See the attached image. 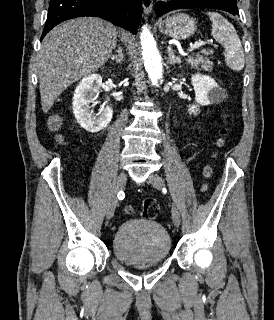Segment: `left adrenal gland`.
Returning a JSON list of instances; mask_svg holds the SVG:
<instances>
[{"instance_id":"a2214340","label":"left adrenal gland","mask_w":274,"mask_h":320,"mask_svg":"<svg viewBox=\"0 0 274 320\" xmlns=\"http://www.w3.org/2000/svg\"><path fill=\"white\" fill-rule=\"evenodd\" d=\"M168 64H171V66H174V64H181L180 58H177V56H174L173 50H171L170 46H168Z\"/></svg>"}]
</instances>
